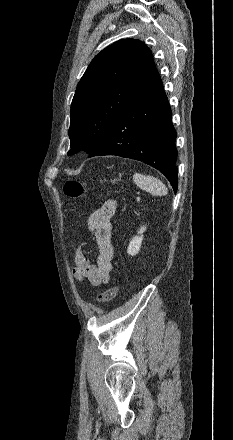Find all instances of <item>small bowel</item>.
Masks as SVG:
<instances>
[{
  "mask_svg": "<svg viewBox=\"0 0 233 440\" xmlns=\"http://www.w3.org/2000/svg\"><path fill=\"white\" fill-rule=\"evenodd\" d=\"M116 209L117 201L108 199L88 217L87 225L94 235L97 257L95 263H93L80 246L76 248L74 255L75 267L73 269L76 280L80 282L87 280L94 286L109 281L114 259V248L111 242V219L115 215Z\"/></svg>",
  "mask_w": 233,
  "mask_h": 440,
  "instance_id": "1",
  "label": "small bowel"
}]
</instances>
